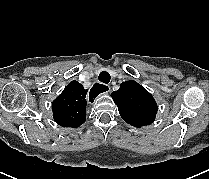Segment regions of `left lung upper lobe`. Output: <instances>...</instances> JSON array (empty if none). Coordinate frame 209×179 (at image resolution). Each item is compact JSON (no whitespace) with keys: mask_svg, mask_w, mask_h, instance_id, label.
<instances>
[{"mask_svg":"<svg viewBox=\"0 0 209 179\" xmlns=\"http://www.w3.org/2000/svg\"><path fill=\"white\" fill-rule=\"evenodd\" d=\"M123 120L134 127L151 124L158 110L153 96L134 80L125 81L111 93Z\"/></svg>","mask_w":209,"mask_h":179,"instance_id":"1","label":"left lung upper lobe"}]
</instances>
